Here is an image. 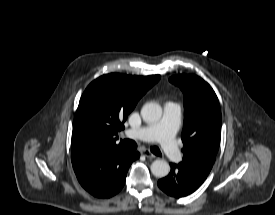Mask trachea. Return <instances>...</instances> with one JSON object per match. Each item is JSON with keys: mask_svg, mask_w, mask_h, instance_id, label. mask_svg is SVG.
I'll list each match as a JSON object with an SVG mask.
<instances>
[{"mask_svg": "<svg viewBox=\"0 0 275 215\" xmlns=\"http://www.w3.org/2000/svg\"><path fill=\"white\" fill-rule=\"evenodd\" d=\"M122 143L129 149H136L137 148V143L133 140L130 139H124L122 140ZM151 152L157 156H161V151L158 147L154 146L150 148Z\"/></svg>", "mask_w": 275, "mask_h": 215, "instance_id": "obj_1", "label": "trachea"}]
</instances>
